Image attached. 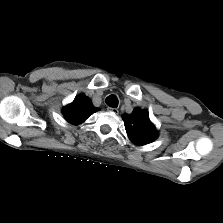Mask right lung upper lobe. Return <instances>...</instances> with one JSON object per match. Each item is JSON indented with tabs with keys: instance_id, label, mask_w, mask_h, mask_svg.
I'll return each instance as SVG.
<instances>
[{
	"instance_id": "right-lung-upper-lobe-1",
	"label": "right lung upper lobe",
	"mask_w": 223,
	"mask_h": 223,
	"mask_svg": "<svg viewBox=\"0 0 223 223\" xmlns=\"http://www.w3.org/2000/svg\"><path fill=\"white\" fill-rule=\"evenodd\" d=\"M96 111L97 108L93 106L89 98L84 95H79L71 104L63 109V114L68 122L79 124Z\"/></svg>"
}]
</instances>
